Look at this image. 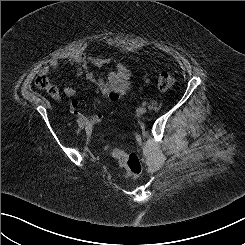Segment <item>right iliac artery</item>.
I'll list each match as a JSON object with an SVG mask.
<instances>
[{
  "mask_svg": "<svg viewBox=\"0 0 245 245\" xmlns=\"http://www.w3.org/2000/svg\"><path fill=\"white\" fill-rule=\"evenodd\" d=\"M77 123L80 125L82 123V121L78 119L77 120Z\"/></svg>",
  "mask_w": 245,
  "mask_h": 245,
  "instance_id": "right-iliac-artery-1",
  "label": "right iliac artery"
}]
</instances>
